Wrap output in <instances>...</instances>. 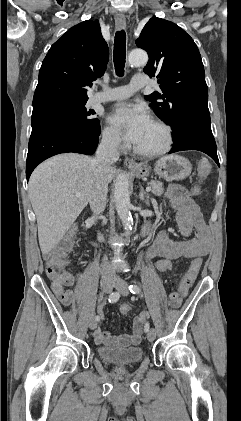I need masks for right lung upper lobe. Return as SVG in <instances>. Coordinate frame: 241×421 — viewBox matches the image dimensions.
Instances as JSON below:
<instances>
[{
	"label": "right lung upper lobe",
	"mask_w": 241,
	"mask_h": 421,
	"mask_svg": "<svg viewBox=\"0 0 241 421\" xmlns=\"http://www.w3.org/2000/svg\"><path fill=\"white\" fill-rule=\"evenodd\" d=\"M108 45L99 22L70 28L48 51L39 71L33 107L54 101H87V87L106 70Z\"/></svg>",
	"instance_id": "1"
}]
</instances>
